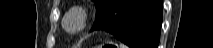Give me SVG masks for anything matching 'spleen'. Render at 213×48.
Wrapping results in <instances>:
<instances>
[{
  "label": "spleen",
  "mask_w": 213,
  "mask_h": 48,
  "mask_svg": "<svg viewBox=\"0 0 213 48\" xmlns=\"http://www.w3.org/2000/svg\"><path fill=\"white\" fill-rule=\"evenodd\" d=\"M120 48H127V47L123 44H120Z\"/></svg>",
  "instance_id": "1"
}]
</instances>
